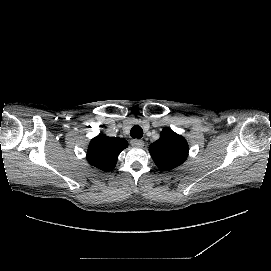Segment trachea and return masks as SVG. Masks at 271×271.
<instances>
[{
	"label": "trachea",
	"instance_id": "1",
	"mask_svg": "<svg viewBox=\"0 0 271 271\" xmlns=\"http://www.w3.org/2000/svg\"><path fill=\"white\" fill-rule=\"evenodd\" d=\"M130 136L132 138L140 139L143 136V129L138 125L133 126L130 131Z\"/></svg>",
	"mask_w": 271,
	"mask_h": 271
}]
</instances>
